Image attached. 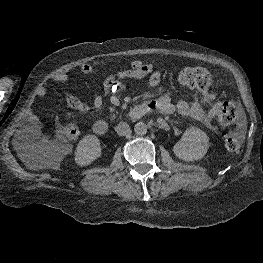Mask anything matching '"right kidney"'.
Masks as SVG:
<instances>
[{"label": "right kidney", "mask_w": 263, "mask_h": 263, "mask_svg": "<svg viewBox=\"0 0 263 263\" xmlns=\"http://www.w3.org/2000/svg\"><path fill=\"white\" fill-rule=\"evenodd\" d=\"M101 155L99 139L94 135H87L79 141L75 162L80 166H88Z\"/></svg>", "instance_id": "right-kidney-1"}]
</instances>
